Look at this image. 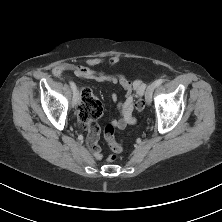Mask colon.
Returning a JSON list of instances; mask_svg holds the SVG:
<instances>
[{
    "mask_svg": "<svg viewBox=\"0 0 222 222\" xmlns=\"http://www.w3.org/2000/svg\"><path fill=\"white\" fill-rule=\"evenodd\" d=\"M81 98L82 101L78 111V119L80 127L86 129L87 124L91 119L99 118L102 114V104L88 88L82 89ZM136 108L138 111L143 110L144 102L139 100L136 104ZM105 139L113 151L108 157V160L114 161L117 158V154L122 151V145L115 140L114 128L112 125H107L105 128Z\"/></svg>",
    "mask_w": 222,
    "mask_h": 222,
    "instance_id": "colon-1",
    "label": "colon"
}]
</instances>
